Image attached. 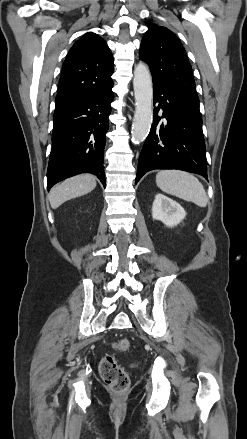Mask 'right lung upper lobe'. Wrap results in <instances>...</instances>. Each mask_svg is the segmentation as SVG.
Returning <instances> with one entry per match:
<instances>
[{
  "label": "right lung upper lobe",
  "instance_id": "cb5924a9",
  "mask_svg": "<svg viewBox=\"0 0 247 439\" xmlns=\"http://www.w3.org/2000/svg\"><path fill=\"white\" fill-rule=\"evenodd\" d=\"M113 56L97 34H84L70 49L62 66L56 108L76 98L103 92L113 85Z\"/></svg>",
  "mask_w": 247,
  "mask_h": 439
}]
</instances>
